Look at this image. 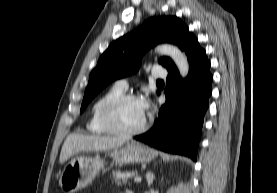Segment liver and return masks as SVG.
I'll return each mask as SVG.
<instances>
[{"label":"liver","instance_id":"obj_1","mask_svg":"<svg viewBox=\"0 0 277 193\" xmlns=\"http://www.w3.org/2000/svg\"><path fill=\"white\" fill-rule=\"evenodd\" d=\"M126 141L124 138L110 136L70 134L62 146L59 162L65 163L78 152L109 151L122 146Z\"/></svg>","mask_w":277,"mask_h":193}]
</instances>
